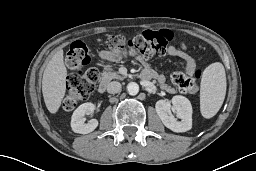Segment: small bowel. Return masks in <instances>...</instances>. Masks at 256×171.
Returning <instances> with one entry per match:
<instances>
[{"instance_id":"1","label":"small bowel","mask_w":256,"mask_h":171,"mask_svg":"<svg viewBox=\"0 0 256 171\" xmlns=\"http://www.w3.org/2000/svg\"><path fill=\"white\" fill-rule=\"evenodd\" d=\"M168 54L173 57H178L185 62V71L192 75L196 68L195 58L188 53V49L185 45L181 44L179 47L169 46ZM125 53L114 54L111 51L102 50L98 52V57L107 61H116L120 58L125 57ZM143 79H155L164 89H169V86L166 82V78L164 75L159 74L152 70L151 68H147L142 72Z\"/></svg>"}]
</instances>
